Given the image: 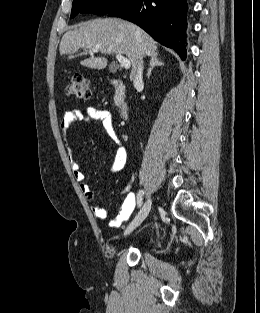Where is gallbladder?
<instances>
[{
    "label": "gallbladder",
    "mask_w": 260,
    "mask_h": 313,
    "mask_svg": "<svg viewBox=\"0 0 260 313\" xmlns=\"http://www.w3.org/2000/svg\"><path fill=\"white\" fill-rule=\"evenodd\" d=\"M110 71L114 73L116 71V66L115 65H111L110 66Z\"/></svg>",
    "instance_id": "1"
}]
</instances>
